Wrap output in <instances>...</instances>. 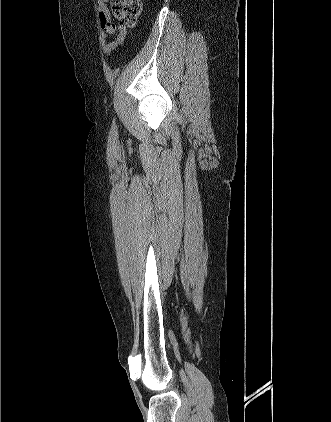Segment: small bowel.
<instances>
[{
  "label": "small bowel",
  "instance_id": "1",
  "mask_svg": "<svg viewBox=\"0 0 331 422\" xmlns=\"http://www.w3.org/2000/svg\"><path fill=\"white\" fill-rule=\"evenodd\" d=\"M107 2L108 0H99L98 4V16L103 29L99 40L105 54L110 55L117 48L123 45L127 37V30L124 26H117L111 22V15ZM109 35H115V39L108 41L107 39Z\"/></svg>",
  "mask_w": 331,
  "mask_h": 422
}]
</instances>
